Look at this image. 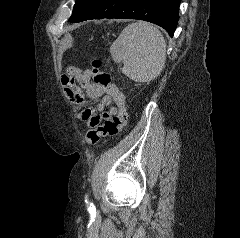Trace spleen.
<instances>
[{
	"mask_svg": "<svg viewBox=\"0 0 240 238\" xmlns=\"http://www.w3.org/2000/svg\"><path fill=\"white\" fill-rule=\"evenodd\" d=\"M116 63H124L122 73L136 82L156 78L165 66L166 42L162 33L146 22L129 24L110 47Z\"/></svg>",
	"mask_w": 240,
	"mask_h": 238,
	"instance_id": "1",
	"label": "spleen"
}]
</instances>
